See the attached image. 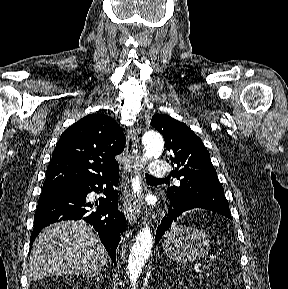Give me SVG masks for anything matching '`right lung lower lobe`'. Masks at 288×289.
<instances>
[{
  "label": "right lung lower lobe",
  "instance_id": "98d812e1",
  "mask_svg": "<svg viewBox=\"0 0 288 289\" xmlns=\"http://www.w3.org/2000/svg\"><path fill=\"white\" fill-rule=\"evenodd\" d=\"M119 182V168L107 174L58 188L42 190L34 215L31 245L41 229L62 220L83 219L97 231L102 244L116 264L115 251L120 234L126 230V220L117 210L118 191L113 188ZM103 185L106 189L103 190ZM104 191L96 211H91L92 203L86 201L89 192Z\"/></svg>",
  "mask_w": 288,
  "mask_h": 289
}]
</instances>
